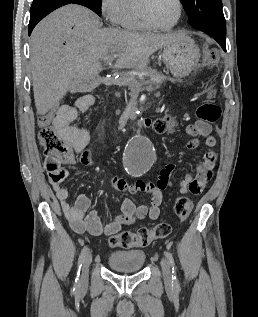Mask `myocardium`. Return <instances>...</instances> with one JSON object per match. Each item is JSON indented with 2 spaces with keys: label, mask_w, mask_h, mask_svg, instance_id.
I'll return each instance as SVG.
<instances>
[{
  "label": "myocardium",
  "mask_w": 258,
  "mask_h": 317,
  "mask_svg": "<svg viewBox=\"0 0 258 317\" xmlns=\"http://www.w3.org/2000/svg\"><path fill=\"white\" fill-rule=\"evenodd\" d=\"M153 1H155V0H143V2L141 3V5L139 7L138 19H139L141 27L147 31H168L170 29H173L179 23V21L182 17V12H183L182 1L181 0H174L177 4V7H178V14H177V18L175 19V21L168 26H154L148 20L147 12H148V9Z\"/></svg>",
  "instance_id": "f54148a6"
}]
</instances>
